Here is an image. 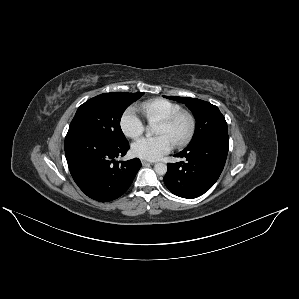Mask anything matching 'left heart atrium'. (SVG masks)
I'll list each match as a JSON object with an SVG mask.
<instances>
[{
    "label": "left heart atrium",
    "mask_w": 299,
    "mask_h": 299,
    "mask_svg": "<svg viewBox=\"0 0 299 299\" xmlns=\"http://www.w3.org/2000/svg\"><path fill=\"white\" fill-rule=\"evenodd\" d=\"M173 141L167 135L147 136L132 145L135 156L146 160H158L173 149Z\"/></svg>",
    "instance_id": "left-heart-atrium-1"
}]
</instances>
